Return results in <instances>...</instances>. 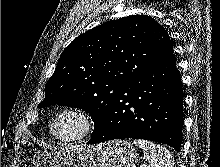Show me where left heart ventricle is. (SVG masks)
Here are the masks:
<instances>
[{
    "instance_id": "1",
    "label": "left heart ventricle",
    "mask_w": 220,
    "mask_h": 167,
    "mask_svg": "<svg viewBox=\"0 0 220 167\" xmlns=\"http://www.w3.org/2000/svg\"><path fill=\"white\" fill-rule=\"evenodd\" d=\"M80 127L79 120L74 116H65L55 125V132L61 137H70L74 135Z\"/></svg>"
}]
</instances>
